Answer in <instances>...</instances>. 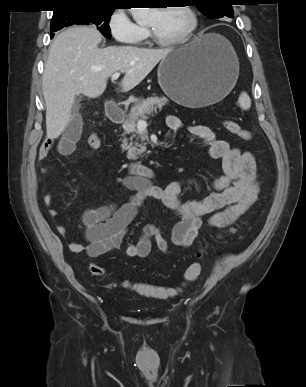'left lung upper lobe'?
Returning a JSON list of instances; mask_svg holds the SVG:
<instances>
[{
    "instance_id": "obj_1",
    "label": "left lung upper lobe",
    "mask_w": 306,
    "mask_h": 387,
    "mask_svg": "<svg viewBox=\"0 0 306 387\" xmlns=\"http://www.w3.org/2000/svg\"><path fill=\"white\" fill-rule=\"evenodd\" d=\"M193 4L209 18H233L231 0H192Z\"/></svg>"
}]
</instances>
